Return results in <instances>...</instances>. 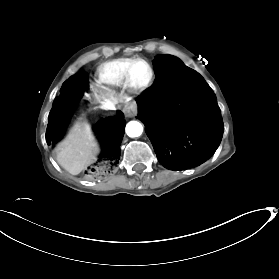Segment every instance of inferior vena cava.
<instances>
[{"instance_id": "602c4592", "label": "inferior vena cava", "mask_w": 279, "mask_h": 279, "mask_svg": "<svg viewBox=\"0 0 279 279\" xmlns=\"http://www.w3.org/2000/svg\"><path fill=\"white\" fill-rule=\"evenodd\" d=\"M107 103L106 105L104 106H101L102 109H105V110H116V104L115 102L113 101H109V102H105Z\"/></svg>"}]
</instances>
